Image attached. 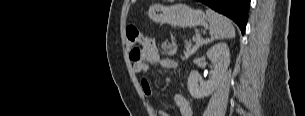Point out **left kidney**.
Listing matches in <instances>:
<instances>
[{
    "instance_id": "1",
    "label": "left kidney",
    "mask_w": 305,
    "mask_h": 116,
    "mask_svg": "<svg viewBox=\"0 0 305 116\" xmlns=\"http://www.w3.org/2000/svg\"><path fill=\"white\" fill-rule=\"evenodd\" d=\"M207 57L213 64L209 81H203L198 71H191L188 78V90L195 99L208 97L219 86L229 65L230 51L226 43H218L207 51Z\"/></svg>"
}]
</instances>
